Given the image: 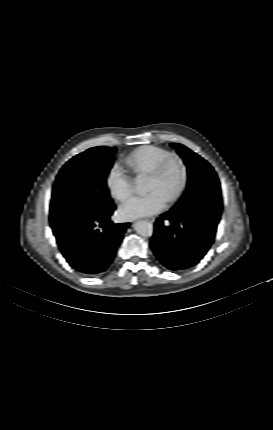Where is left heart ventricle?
I'll return each mask as SVG.
<instances>
[{"label":"left heart ventricle","mask_w":273,"mask_h":430,"mask_svg":"<svg viewBox=\"0 0 273 430\" xmlns=\"http://www.w3.org/2000/svg\"><path fill=\"white\" fill-rule=\"evenodd\" d=\"M181 177V172L176 164L171 165L165 175L160 179L148 178L147 191H159L165 199L177 187Z\"/></svg>","instance_id":"1"}]
</instances>
